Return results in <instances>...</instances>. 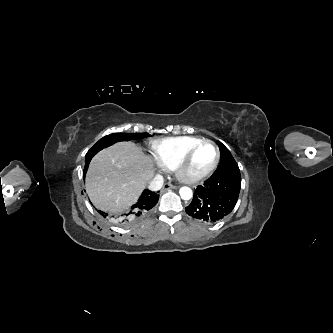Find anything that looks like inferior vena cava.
Returning a JSON list of instances; mask_svg holds the SVG:
<instances>
[{
    "instance_id": "1",
    "label": "inferior vena cava",
    "mask_w": 333,
    "mask_h": 333,
    "mask_svg": "<svg viewBox=\"0 0 333 333\" xmlns=\"http://www.w3.org/2000/svg\"><path fill=\"white\" fill-rule=\"evenodd\" d=\"M163 177L160 174L154 176V178L150 181L148 188L152 191H158L163 186Z\"/></svg>"
}]
</instances>
